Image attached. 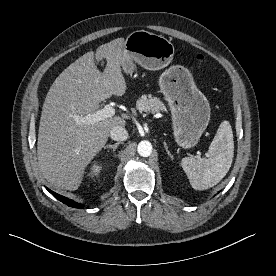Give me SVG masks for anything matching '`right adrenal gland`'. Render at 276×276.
<instances>
[{
    "label": "right adrenal gland",
    "instance_id": "2a0ac1e0",
    "mask_svg": "<svg viewBox=\"0 0 276 276\" xmlns=\"http://www.w3.org/2000/svg\"><path fill=\"white\" fill-rule=\"evenodd\" d=\"M119 142L113 144V145H106L104 146V149H112L113 151H115L117 149V147L119 146Z\"/></svg>",
    "mask_w": 276,
    "mask_h": 276
}]
</instances>
